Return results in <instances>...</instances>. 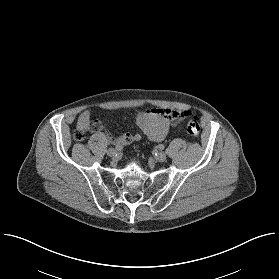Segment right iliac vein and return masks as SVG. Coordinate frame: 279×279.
<instances>
[{"label": "right iliac vein", "instance_id": "1", "mask_svg": "<svg viewBox=\"0 0 279 279\" xmlns=\"http://www.w3.org/2000/svg\"><path fill=\"white\" fill-rule=\"evenodd\" d=\"M106 153L108 156L113 157L116 154V150L114 148H109Z\"/></svg>", "mask_w": 279, "mask_h": 279}]
</instances>
